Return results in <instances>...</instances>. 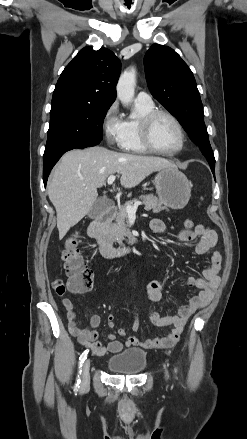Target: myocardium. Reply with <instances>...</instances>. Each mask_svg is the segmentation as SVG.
<instances>
[{"instance_id": "f54148a6", "label": "myocardium", "mask_w": 247, "mask_h": 439, "mask_svg": "<svg viewBox=\"0 0 247 439\" xmlns=\"http://www.w3.org/2000/svg\"><path fill=\"white\" fill-rule=\"evenodd\" d=\"M159 116H166L168 117L170 120H172V122L176 125L178 132H179V136H180V143L179 146L172 150V151H163V150H159L157 149L151 141V127L153 122L155 121V119ZM139 131H140V140L142 145L145 147V149L151 153L154 154H158V155H162V156H175L178 153H180L186 144V133L185 130L183 128V125L181 124V122L179 121V119L172 114L171 112L167 111V110H153L150 113L146 114L145 116L142 117L141 121H140V127H139Z\"/></svg>"}]
</instances>
